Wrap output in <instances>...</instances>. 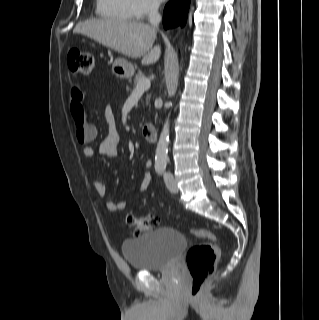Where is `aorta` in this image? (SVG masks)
<instances>
[{
  "instance_id": "1",
  "label": "aorta",
  "mask_w": 319,
  "mask_h": 320,
  "mask_svg": "<svg viewBox=\"0 0 319 320\" xmlns=\"http://www.w3.org/2000/svg\"><path fill=\"white\" fill-rule=\"evenodd\" d=\"M171 105V103H170ZM169 119L166 120L155 153V166L165 167L168 161Z\"/></svg>"
}]
</instances>
